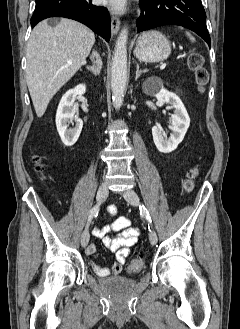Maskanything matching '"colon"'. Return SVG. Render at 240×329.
<instances>
[{
    "label": "colon",
    "instance_id": "obj_1",
    "mask_svg": "<svg viewBox=\"0 0 240 329\" xmlns=\"http://www.w3.org/2000/svg\"><path fill=\"white\" fill-rule=\"evenodd\" d=\"M202 57L199 53L197 52H191L188 56V66L190 70L193 71L194 77H195V82L198 86V88L201 90L207 83L208 81V72L207 70L203 67L202 65ZM36 169L41 171L42 166L40 164V157H35L33 159ZM198 175V170L196 168L190 169L187 174H186V179H185V189L187 191L192 190L193 185H194V179ZM143 265V258L142 256H137L134 259L131 260V262L128 265V272L130 273H136L141 270Z\"/></svg>",
    "mask_w": 240,
    "mask_h": 329
}]
</instances>
